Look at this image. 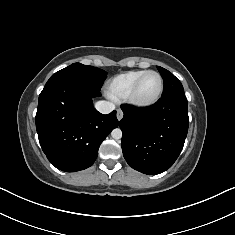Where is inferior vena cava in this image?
I'll return each instance as SVG.
<instances>
[{
	"instance_id": "inferior-vena-cava-1",
	"label": "inferior vena cava",
	"mask_w": 235,
	"mask_h": 235,
	"mask_svg": "<svg viewBox=\"0 0 235 235\" xmlns=\"http://www.w3.org/2000/svg\"><path fill=\"white\" fill-rule=\"evenodd\" d=\"M95 108L102 114H108L115 109V105L107 101H98L95 103Z\"/></svg>"
}]
</instances>
